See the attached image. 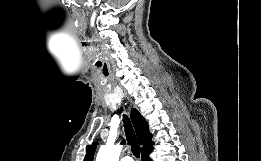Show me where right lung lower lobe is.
<instances>
[{"instance_id": "98d812e1", "label": "right lung lower lobe", "mask_w": 261, "mask_h": 161, "mask_svg": "<svg viewBox=\"0 0 261 161\" xmlns=\"http://www.w3.org/2000/svg\"><path fill=\"white\" fill-rule=\"evenodd\" d=\"M151 152H152V150L149 151V152L143 153L142 156H141L142 161H151V159H150V157H149V154H150Z\"/></svg>"}]
</instances>
